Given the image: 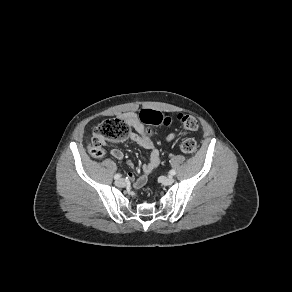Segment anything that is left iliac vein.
I'll list each match as a JSON object with an SVG mask.
<instances>
[{
	"mask_svg": "<svg viewBox=\"0 0 292 292\" xmlns=\"http://www.w3.org/2000/svg\"><path fill=\"white\" fill-rule=\"evenodd\" d=\"M161 183L163 185L169 186V185H172L174 183V179L172 177H162Z\"/></svg>",
	"mask_w": 292,
	"mask_h": 292,
	"instance_id": "obj_1",
	"label": "left iliac vein"
}]
</instances>
